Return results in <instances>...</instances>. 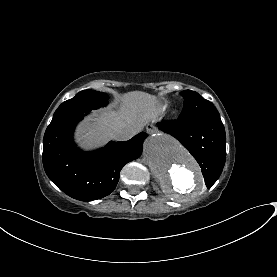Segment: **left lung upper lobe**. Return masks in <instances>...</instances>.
<instances>
[{"instance_id": "1", "label": "left lung upper lobe", "mask_w": 277, "mask_h": 277, "mask_svg": "<svg viewBox=\"0 0 277 277\" xmlns=\"http://www.w3.org/2000/svg\"><path fill=\"white\" fill-rule=\"evenodd\" d=\"M184 98V110L179 116V120L192 121L205 118H220L219 112L208 100L198 93L185 90L181 92Z\"/></svg>"}]
</instances>
